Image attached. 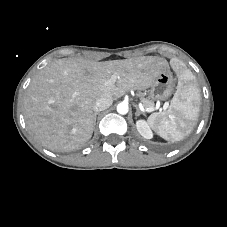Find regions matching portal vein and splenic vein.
Instances as JSON below:
<instances>
[{
  "label": "portal vein and splenic vein",
  "mask_w": 227,
  "mask_h": 227,
  "mask_svg": "<svg viewBox=\"0 0 227 227\" xmlns=\"http://www.w3.org/2000/svg\"><path fill=\"white\" fill-rule=\"evenodd\" d=\"M114 83H115V77H111L105 84L106 85H111V84H114ZM167 107H168V105L165 104L163 106V110L165 111L167 109ZM146 111L147 112H152V111H154V109L153 108H149V109H146Z\"/></svg>",
  "instance_id": "portal-vein-and-splenic-vein-1"
}]
</instances>
